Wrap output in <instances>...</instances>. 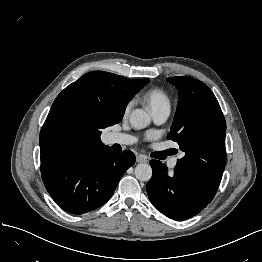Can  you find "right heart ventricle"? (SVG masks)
Segmentation results:
<instances>
[{
	"label": "right heart ventricle",
	"mask_w": 262,
	"mask_h": 262,
	"mask_svg": "<svg viewBox=\"0 0 262 262\" xmlns=\"http://www.w3.org/2000/svg\"><path fill=\"white\" fill-rule=\"evenodd\" d=\"M144 100L149 105L152 112L164 107L170 108L171 104L169 96L158 88L148 90L144 95Z\"/></svg>",
	"instance_id": "e07e8e85"
}]
</instances>
